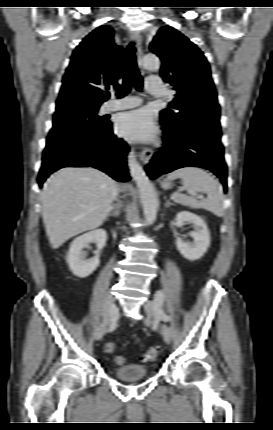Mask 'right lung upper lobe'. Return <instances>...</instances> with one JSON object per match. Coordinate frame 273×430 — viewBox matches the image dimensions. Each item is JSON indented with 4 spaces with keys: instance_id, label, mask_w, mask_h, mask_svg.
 I'll return each instance as SVG.
<instances>
[{
    "instance_id": "right-lung-upper-lobe-1",
    "label": "right lung upper lobe",
    "mask_w": 273,
    "mask_h": 430,
    "mask_svg": "<svg viewBox=\"0 0 273 430\" xmlns=\"http://www.w3.org/2000/svg\"><path fill=\"white\" fill-rule=\"evenodd\" d=\"M122 47L114 42V31L100 26L87 35L73 51L63 77L57 106L71 100L102 104L117 88L123 75Z\"/></svg>"
}]
</instances>
